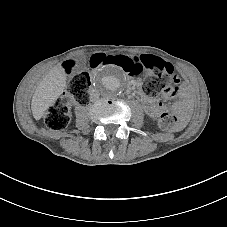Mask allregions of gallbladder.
<instances>
[{"instance_id": "gallbladder-1", "label": "gallbladder", "mask_w": 227, "mask_h": 227, "mask_svg": "<svg viewBox=\"0 0 227 227\" xmlns=\"http://www.w3.org/2000/svg\"><path fill=\"white\" fill-rule=\"evenodd\" d=\"M73 59L76 62V65H75V67L73 69V73H80L82 71L87 70V66H86L87 57H86L85 54L75 55L73 57Z\"/></svg>"}]
</instances>
